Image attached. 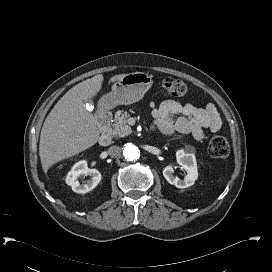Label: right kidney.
<instances>
[{"label":"right kidney","instance_id":"obj_1","mask_svg":"<svg viewBox=\"0 0 272 272\" xmlns=\"http://www.w3.org/2000/svg\"><path fill=\"white\" fill-rule=\"evenodd\" d=\"M89 176L85 184H80L78 179L81 176ZM101 180V173L97 169L87 167V161L81 160L77 162L69 171L66 177V183L71 186L76 193L85 194L94 189Z\"/></svg>","mask_w":272,"mask_h":272}]
</instances>
